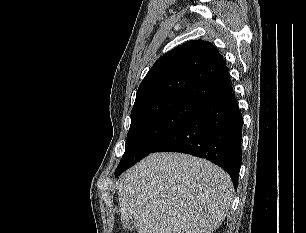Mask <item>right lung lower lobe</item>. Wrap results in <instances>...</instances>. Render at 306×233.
Segmentation results:
<instances>
[{
  "label": "right lung lower lobe",
  "mask_w": 306,
  "mask_h": 233,
  "mask_svg": "<svg viewBox=\"0 0 306 233\" xmlns=\"http://www.w3.org/2000/svg\"><path fill=\"white\" fill-rule=\"evenodd\" d=\"M241 139L242 114L231 90L203 105L153 152H181L206 158L222 167L237 189Z\"/></svg>",
  "instance_id": "obj_1"
}]
</instances>
